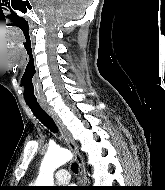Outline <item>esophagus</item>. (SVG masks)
<instances>
[{"instance_id": "34e87169", "label": "esophagus", "mask_w": 165, "mask_h": 190, "mask_svg": "<svg viewBox=\"0 0 165 190\" xmlns=\"http://www.w3.org/2000/svg\"><path fill=\"white\" fill-rule=\"evenodd\" d=\"M41 107L51 116V118L55 121L57 126L59 127V130L61 132V136L66 143V145L69 147V149L73 152L75 159L78 162L79 165V184L81 186H84L86 184V177H85V170H84V164L82 156L79 153L78 147L72 138L69 131L65 128V126L61 123L58 116L54 113V111L48 107L46 104H41Z\"/></svg>"}]
</instances>
